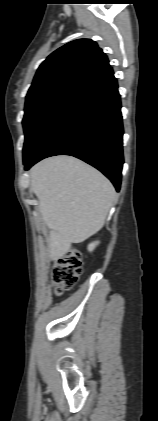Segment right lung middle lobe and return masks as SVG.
Returning <instances> with one entry per match:
<instances>
[{
	"mask_svg": "<svg viewBox=\"0 0 158 421\" xmlns=\"http://www.w3.org/2000/svg\"><path fill=\"white\" fill-rule=\"evenodd\" d=\"M79 87L77 83L61 82L27 94L23 118L24 161L30 156L46 125Z\"/></svg>",
	"mask_w": 158,
	"mask_h": 421,
	"instance_id": "obj_1",
	"label": "right lung middle lobe"
}]
</instances>
